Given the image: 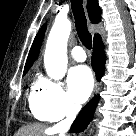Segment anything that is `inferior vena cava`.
Listing matches in <instances>:
<instances>
[{
	"label": "inferior vena cava",
	"mask_w": 136,
	"mask_h": 136,
	"mask_svg": "<svg viewBox=\"0 0 136 136\" xmlns=\"http://www.w3.org/2000/svg\"><path fill=\"white\" fill-rule=\"evenodd\" d=\"M81 106L80 105H69L67 110H66V119L63 121L57 123L54 126V129L57 130L60 134V136H64L65 133L68 131L70 128L71 124L76 118V115L80 111Z\"/></svg>",
	"instance_id": "obj_1"
}]
</instances>
